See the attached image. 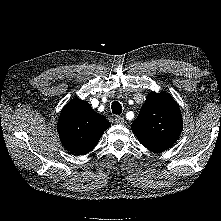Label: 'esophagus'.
Wrapping results in <instances>:
<instances>
[{
  "instance_id": "34e87169",
  "label": "esophagus",
  "mask_w": 221,
  "mask_h": 221,
  "mask_svg": "<svg viewBox=\"0 0 221 221\" xmlns=\"http://www.w3.org/2000/svg\"><path fill=\"white\" fill-rule=\"evenodd\" d=\"M124 122H125L124 117H122V116H116L115 117V123L116 124H124Z\"/></svg>"
}]
</instances>
